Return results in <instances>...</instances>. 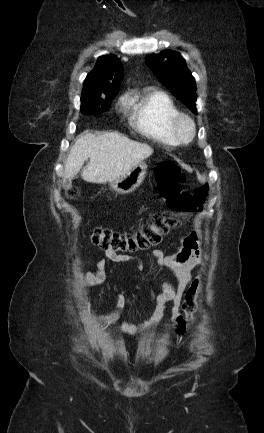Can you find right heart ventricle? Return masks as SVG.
Here are the masks:
<instances>
[{
    "label": "right heart ventricle",
    "mask_w": 264,
    "mask_h": 433,
    "mask_svg": "<svg viewBox=\"0 0 264 433\" xmlns=\"http://www.w3.org/2000/svg\"><path fill=\"white\" fill-rule=\"evenodd\" d=\"M125 102L130 125L138 133L164 145L178 144L170 124L180 111L168 94L147 90L129 95Z\"/></svg>",
    "instance_id": "right-heart-ventricle-1"
}]
</instances>
